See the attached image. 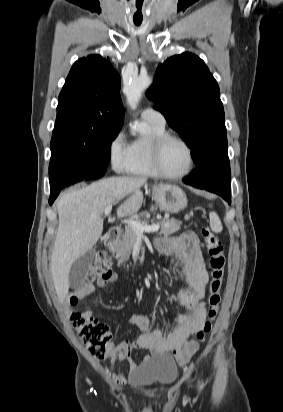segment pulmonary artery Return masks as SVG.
I'll use <instances>...</instances> for the list:
<instances>
[{"label":"pulmonary artery","instance_id":"obj_1","mask_svg":"<svg viewBox=\"0 0 283 412\" xmlns=\"http://www.w3.org/2000/svg\"><path fill=\"white\" fill-rule=\"evenodd\" d=\"M141 117L146 122H151L160 126H165L166 124L164 115L152 107L144 109L141 113Z\"/></svg>","mask_w":283,"mask_h":412}]
</instances>
